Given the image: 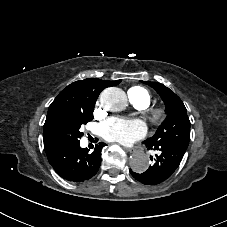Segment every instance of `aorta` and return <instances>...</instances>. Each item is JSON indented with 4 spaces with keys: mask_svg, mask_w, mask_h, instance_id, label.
Masks as SVG:
<instances>
[{
    "mask_svg": "<svg viewBox=\"0 0 227 227\" xmlns=\"http://www.w3.org/2000/svg\"><path fill=\"white\" fill-rule=\"evenodd\" d=\"M100 103L107 110H121L126 106L127 96L117 87L106 88L100 95ZM149 167V158L144 152H136L130 160V168L137 173L145 172Z\"/></svg>",
    "mask_w": 227,
    "mask_h": 227,
    "instance_id": "762f6f07",
    "label": "aorta"
}]
</instances>
